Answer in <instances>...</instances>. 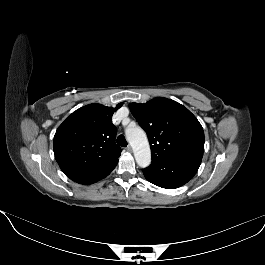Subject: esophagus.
<instances>
[{
    "label": "esophagus",
    "mask_w": 265,
    "mask_h": 265,
    "mask_svg": "<svg viewBox=\"0 0 265 265\" xmlns=\"http://www.w3.org/2000/svg\"><path fill=\"white\" fill-rule=\"evenodd\" d=\"M126 150H127L128 152H132V147H131L130 145H128V146L126 147Z\"/></svg>",
    "instance_id": "obj_1"
}]
</instances>
